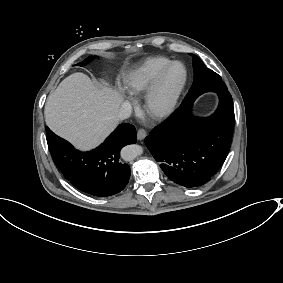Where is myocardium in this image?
<instances>
[{
    "mask_svg": "<svg viewBox=\"0 0 283 283\" xmlns=\"http://www.w3.org/2000/svg\"><path fill=\"white\" fill-rule=\"evenodd\" d=\"M180 64L184 69V77L178 88L172 93L168 100L159 103L160 84L165 74L174 65ZM189 79L187 66L182 61H171L165 65L152 79L144 96L145 113L155 119L164 118L171 115L177 107L179 99L184 92Z\"/></svg>",
    "mask_w": 283,
    "mask_h": 283,
    "instance_id": "1",
    "label": "myocardium"
}]
</instances>
